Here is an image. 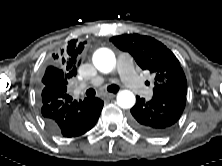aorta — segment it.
Instances as JSON below:
<instances>
[{"label":"aorta","instance_id":"1","mask_svg":"<svg viewBox=\"0 0 222 166\" xmlns=\"http://www.w3.org/2000/svg\"><path fill=\"white\" fill-rule=\"evenodd\" d=\"M116 63L114 53L107 48L97 50L93 56L94 66L103 73H109L113 70ZM135 95L129 90H122L117 95V104L123 108H132L135 104Z\"/></svg>","mask_w":222,"mask_h":166}]
</instances>
